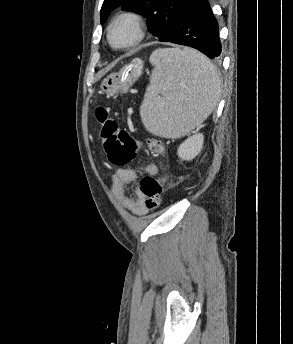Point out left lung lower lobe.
I'll return each instance as SVG.
<instances>
[{"label": "left lung lower lobe", "mask_w": 293, "mask_h": 344, "mask_svg": "<svg viewBox=\"0 0 293 344\" xmlns=\"http://www.w3.org/2000/svg\"><path fill=\"white\" fill-rule=\"evenodd\" d=\"M159 41L189 46L217 59L221 55L219 29L208 0H190L171 31Z\"/></svg>", "instance_id": "obj_1"}]
</instances>
